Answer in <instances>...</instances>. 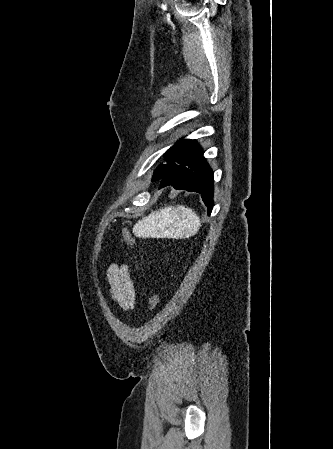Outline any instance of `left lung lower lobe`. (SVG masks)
<instances>
[{
    "label": "left lung lower lobe",
    "mask_w": 333,
    "mask_h": 449,
    "mask_svg": "<svg viewBox=\"0 0 333 449\" xmlns=\"http://www.w3.org/2000/svg\"><path fill=\"white\" fill-rule=\"evenodd\" d=\"M168 185H172L176 189L200 193L203 202L208 207V213H211L213 207V171L197 143L183 164L172 173L161 178V187Z\"/></svg>",
    "instance_id": "left-lung-lower-lobe-1"
}]
</instances>
